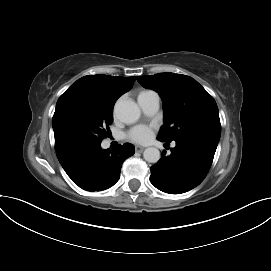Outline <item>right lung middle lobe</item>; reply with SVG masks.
Returning <instances> with one entry per match:
<instances>
[{"label":"right lung middle lobe","instance_id":"right-lung-middle-lobe-1","mask_svg":"<svg viewBox=\"0 0 271 271\" xmlns=\"http://www.w3.org/2000/svg\"><path fill=\"white\" fill-rule=\"evenodd\" d=\"M113 106L99 104L80 95L64 99L53 116L55 142L71 152L97 146L109 136Z\"/></svg>","mask_w":271,"mask_h":271}]
</instances>
